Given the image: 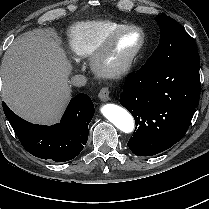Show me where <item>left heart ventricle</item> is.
Returning a JSON list of instances; mask_svg holds the SVG:
<instances>
[{
    "label": "left heart ventricle",
    "instance_id": "left-heart-ventricle-1",
    "mask_svg": "<svg viewBox=\"0 0 209 209\" xmlns=\"http://www.w3.org/2000/svg\"><path fill=\"white\" fill-rule=\"evenodd\" d=\"M140 42L141 34L139 32H128L120 36L109 56V63L115 65L126 59Z\"/></svg>",
    "mask_w": 209,
    "mask_h": 209
}]
</instances>
